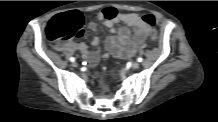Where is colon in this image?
I'll return each mask as SVG.
<instances>
[{
	"mask_svg": "<svg viewBox=\"0 0 218 122\" xmlns=\"http://www.w3.org/2000/svg\"><path fill=\"white\" fill-rule=\"evenodd\" d=\"M143 21L150 27L155 24V17L146 14ZM84 17L79 11H69L55 16L48 23L46 33L50 41L61 43L83 33ZM152 39H157L156 33L152 32Z\"/></svg>",
	"mask_w": 218,
	"mask_h": 122,
	"instance_id": "5ec220e1",
	"label": "colon"
}]
</instances>
